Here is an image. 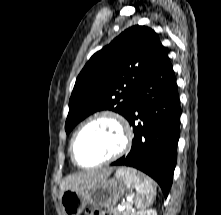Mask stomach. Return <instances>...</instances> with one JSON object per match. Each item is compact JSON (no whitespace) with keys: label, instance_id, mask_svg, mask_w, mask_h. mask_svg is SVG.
Returning <instances> with one entry per match:
<instances>
[{"label":"stomach","instance_id":"0dacf381","mask_svg":"<svg viewBox=\"0 0 221 215\" xmlns=\"http://www.w3.org/2000/svg\"><path fill=\"white\" fill-rule=\"evenodd\" d=\"M121 171H134L136 176L143 179L144 174L132 169ZM128 188L122 177L102 179L95 185L84 190H66L60 196V204L64 215H80L86 206L104 207L112 209Z\"/></svg>","mask_w":221,"mask_h":215}]
</instances>
